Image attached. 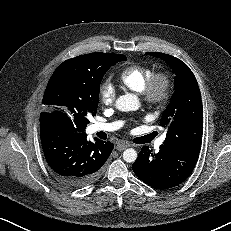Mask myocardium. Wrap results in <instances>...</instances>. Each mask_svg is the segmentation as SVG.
<instances>
[{
  "label": "myocardium",
  "mask_w": 231,
  "mask_h": 231,
  "mask_svg": "<svg viewBox=\"0 0 231 231\" xmlns=\"http://www.w3.org/2000/svg\"><path fill=\"white\" fill-rule=\"evenodd\" d=\"M173 93V80L169 72H154L140 94L143 101L154 108H163Z\"/></svg>",
  "instance_id": "myocardium-1"
}]
</instances>
